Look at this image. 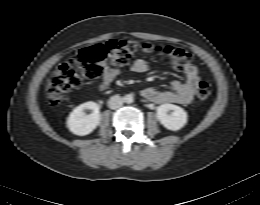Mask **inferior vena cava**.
Segmentation results:
<instances>
[{"mask_svg": "<svg viewBox=\"0 0 260 205\" xmlns=\"http://www.w3.org/2000/svg\"><path fill=\"white\" fill-rule=\"evenodd\" d=\"M124 99L118 95L112 96L108 101L110 109H117L123 105Z\"/></svg>", "mask_w": 260, "mask_h": 205, "instance_id": "602c4592", "label": "inferior vena cava"}]
</instances>
